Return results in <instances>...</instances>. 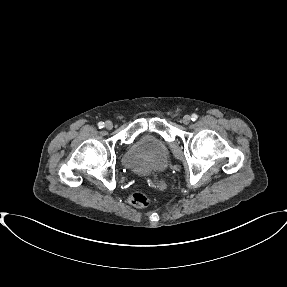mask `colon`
I'll use <instances>...</instances> for the list:
<instances>
[{
	"label": "colon",
	"mask_w": 287,
	"mask_h": 287,
	"mask_svg": "<svg viewBox=\"0 0 287 287\" xmlns=\"http://www.w3.org/2000/svg\"><path fill=\"white\" fill-rule=\"evenodd\" d=\"M128 201L132 206L136 208H144L148 206L150 199L145 193L140 191H134L130 193Z\"/></svg>",
	"instance_id": "1"
}]
</instances>
